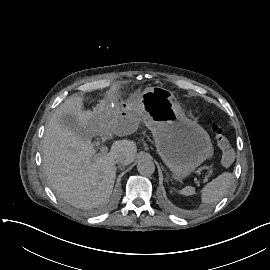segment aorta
<instances>
[{
	"mask_svg": "<svg viewBox=\"0 0 270 270\" xmlns=\"http://www.w3.org/2000/svg\"><path fill=\"white\" fill-rule=\"evenodd\" d=\"M137 170L142 175H151L155 171L154 162L149 158H141L137 163Z\"/></svg>",
	"mask_w": 270,
	"mask_h": 270,
	"instance_id": "762f6f07",
	"label": "aorta"
}]
</instances>
